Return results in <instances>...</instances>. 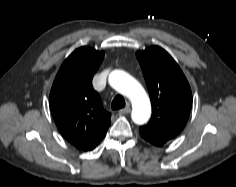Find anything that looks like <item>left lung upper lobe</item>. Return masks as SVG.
Wrapping results in <instances>:
<instances>
[{
	"mask_svg": "<svg viewBox=\"0 0 236 187\" xmlns=\"http://www.w3.org/2000/svg\"><path fill=\"white\" fill-rule=\"evenodd\" d=\"M136 56L152 104L151 119L139 132L146 141L162 146L185 127L192 107L191 89L178 64L164 49L152 46Z\"/></svg>",
	"mask_w": 236,
	"mask_h": 187,
	"instance_id": "obj_1",
	"label": "left lung upper lobe"
}]
</instances>
